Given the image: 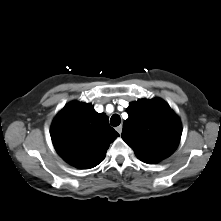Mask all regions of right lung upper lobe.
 Masks as SVG:
<instances>
[{
	"label": "right lung upper lobe",
	"mask_w": 221,
	"mask_h": 221,
	"mask_svg": "<svg viewBox=\"0 0 221 221\" xmlns=\"http://www.w3.org/2000/svg\"><path fill=\"white\" fill-rule=\"evenodd\" d=\"M108 120V116L97 113L91 104L70 102L51 126L57 153L80 169L97 166L105 158L110 143L119 136Z\"/></svg>",
	"instance_id": "1"
}]
</instances>
